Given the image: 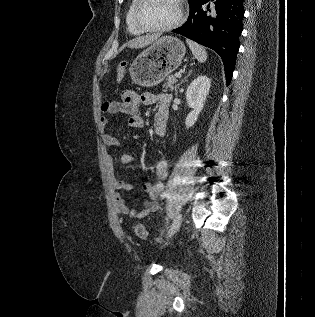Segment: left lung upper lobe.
Listing matches in <instances>:
<instances>
[{
	"label": "left lung upper lobe",
	"mask_w": 315,
	"mask_h": 317,
	"mask_svg": "<svg viewBox=\"0 0 315 317\" xmlns=\"http://www.w3.org/2000/svg\"><path fill=\"white\" fill-rule=\"evenodd\" d=\"M193 0H188L189 4L192 2Z\"/></svg>",
	"instance_id": "obj_1"
}]
</instances>
